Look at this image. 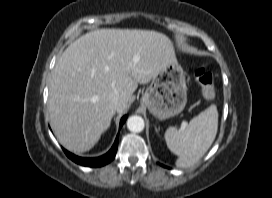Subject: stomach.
Wrapping results in <instances>:
<instances>
[{
  "instance_id": "0dacf381",
  "label": "stomach",
  "mask_w": 272,
  "mask_h": 198,
  "mask_svg": "<svg viewBox=\"0 0 272 198\" xmlns=\"http://www.w3.org/2000/svg\"><path fill=\"white\" fill-rule=\"evenodd\" d=\"M185 75L177 60L168 62L152 79L141 98V104L159 120L181 113L187 103Z\"/></svg>"
}]
</instances>
